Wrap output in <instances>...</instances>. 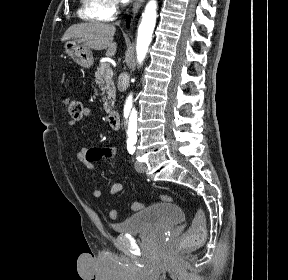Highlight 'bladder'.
Instances as JSON below:
<instances>
[{"instance_id": "obj_1", "label": "bladder", "mask_w": 288, "mask_h": 280, "mask_svg": "<svg viewBox=\"0 0 288 280\" xmlns=\"http://www.w3.org/2000/svg\"><path fill=\"white\" fill-rule=\"evenodd\" d=\"M184 220L183 210L175 204L157 203L145 207L120 223L113 230L121 234H136L153 230H164Z\"/></svg>"}]
</instances>
